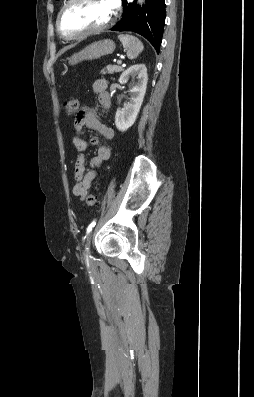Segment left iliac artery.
<instances>
[{
    "mask_svg": "<svg viewBox=\"0 0 254 397\" xmlns=\"http://www.w3.org/2000/svg\"><path fill=\"white\" fill-rule=\"evenodd\" d=\"M96 220H94L87 228V235L91 232L92 228L95 226Z\"/></svg>",
    "mask_w": 254,
    "mask_h": 397,
    "instance_id": "44dca946",
    "label": "left iliac artery"
}]
</instances>
